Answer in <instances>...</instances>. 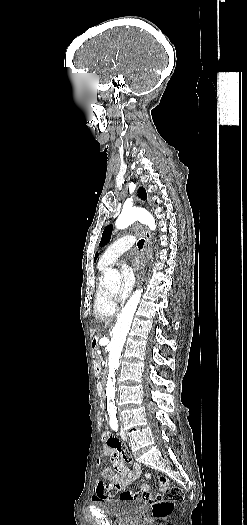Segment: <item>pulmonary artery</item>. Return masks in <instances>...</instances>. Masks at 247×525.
Masks as SVG:
<instances>
[{"instance_id": "pulmonary-artery-1", "label": "pulmonary artery", "mask_w": 247, "mask_h": 525, "mask_svg": "<svg viewBox=\"0 0 247 525\" xmlns=\"http://www.w3.org/2000/svg\"><path fill=\"white\" fill-rule=\"evenodd\" d=\"M136 242V238L129 234H123L110 243L102 254L108 264L116 260L123 252L128 250Z\"/></svg>"}]
</instances>
